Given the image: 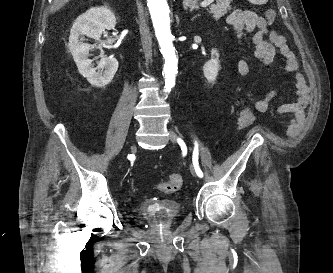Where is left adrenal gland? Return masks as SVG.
Segmentation results:
<instances>
[{
    "mask_svg": "<svg viewBox=\"0 0 333 273\" xmlns=\"http://www.w3.org/2000/svg\"><path fill=\"white\" fill-rule=\"evenodd\" d=\"M183 8L185 10H190V11H193V10H198L199 9V6L197 5V2L196 0H183Z\"/></svg>",
    "mask_w": 333,
    "mask_h": 273,
    "instance_id": "obj_1",
    "label": "left adrenal gland"
}]
</instances>
